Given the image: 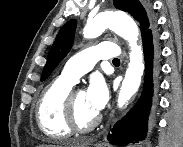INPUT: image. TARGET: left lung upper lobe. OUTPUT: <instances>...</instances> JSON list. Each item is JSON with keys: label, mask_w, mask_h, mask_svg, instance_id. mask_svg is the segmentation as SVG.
<instances>
[{"label": "left lung upper lobe", "mask_w": 183, "mask_h": 147, "mask_svg": "<svg viewBox=\"0 0 183 147\" xmlns=\"http://www.w3.org/2000/svg\"><path fill=\"white\" fill-rule=\"evenodd\" d=\"M114 6L119 10L128 12L140 23L142 36L153 29L154 20L147 15L146 10L139 0H114ZM75 29L76 20L74 19L68 21L60 29L55 42L49 51L47 63L42 72L41 81L48 78L69 52L73 44Z\"/></svg>", "instance_id": "obj_1"}]
</instances>
